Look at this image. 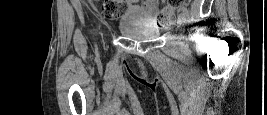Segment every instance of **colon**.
<instances>
[{
	"mask_svg": "<svg viewBox=\"0 0 267 115\" xmlns=\"http://www.w3.org/2000/svg\"><path fill=\"white\" fill-rule=\"evenodd\" d=\"M187 0H169L158 13L160 23L166 24L173 20L177 10L186 3ZM127 10L125 0H105L101 7V15L107 20H115L121 17Z\"/></svg>",
	"mask_w": 267,
	"mask_h": 115,
	"instance_id": "obj_1",
	"label": "colon"
}]
</instances>
